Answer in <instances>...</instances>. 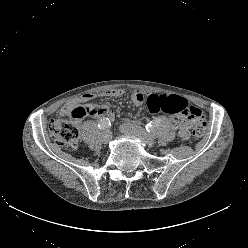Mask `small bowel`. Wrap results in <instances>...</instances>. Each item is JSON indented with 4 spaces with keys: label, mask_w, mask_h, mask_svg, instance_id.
Here are the masks:
<instances>
[{
    "label": "small bowel",
    "mask_w": 248,
    "mask_h": 248,
    "mask_svg": "<svg viewBox=\"0 0 248 248\" xmlns=\"http://www.w3.org/2000/svg\"><path fill=\"white\" fill-rule=\"evenodd\" d=\"M124 93L121 89H109L107 91L102 92L100 95L104 97H119L122 96ZM96 97L93 93H86L82 96L72 99L63 105L59 110L60 116H67L71 114L73 108L78 106L80 103L90 101ZM146 97V92L137 90L134 91L131 95V101L134 105L140 106L143 104ZM89 108V115L94 117H103L112 120L114 118V112L105 105H90L87 106ZM172 121L179 126V137L182 140H187L190 137V122L189 120L183 115H173L171 117ZM80 121V120H78Z\"/></svg>",
    "instance_id": "obj_1"
}]
</instances>
